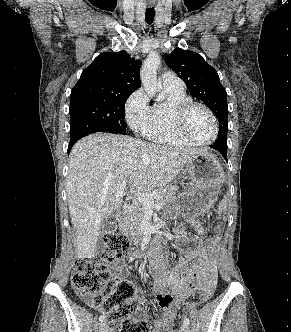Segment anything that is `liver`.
<instances>
[{
  "instance_id": "1",
  "label": "liver",
  "mask_w": 291,
  "mask_h": 332,
  "mask_svg": "<svg viewBox=\"0 0 291 332\" xmlns=\"http://www.w3.org/2000/svg\"><path fill=\"white\" fill-rule=\"evenodd\" d=\"M205 151L109 133L80 139L70 152L66 187L77 257H94L105 219L121 205L115 194L123 185L131 193L166 186L191 158Z\"/></svg>"
}]
</instances>
